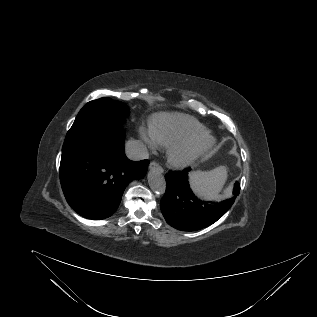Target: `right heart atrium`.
Segmentation results:
<instances>
[{
  "mask_svg": "<svg viewBox=\"0 0 317 317\" xmlns=\"http://www.w3.org/2000/svg\"><path fill=\"white\" fill-rule=\"evenodd\" d=\"M138 132H139L140 138L142 139L143 143L148 149L154 150L157 148L158 144L155 141L150 128H147L145 126H140L138 129Z\"/></svg>",
  "mask_w": 317,
  "mask_h": 317,
  "instance_id": "d8ad5b80",
  "label": "right heart atrium"
}]
</instances>
